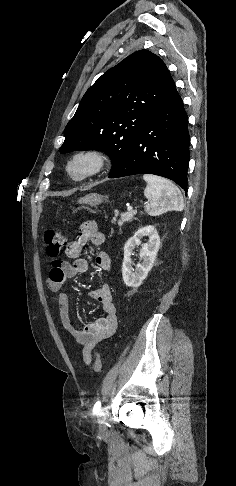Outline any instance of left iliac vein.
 I'll list each match as a JSON object with an SVG mask.
<instances>
[{
    "mask_svg": "<svg viewBox=\"0 0 236 486\" xmlns=\"http://www.w3.org/2000/svg\"><path fill=\"white\" fill-rule=\"evenodd\" d=\"M98 423H99V433L100 434H105L106 431H107V427H106V418L103 414V411H100L98 413Z\"/></svg>",
    "mask_w": 236,
    "mask_h": 486,
    "instance_id": "obj_1",
    "label": "left iliac vein"
}]
</instances>
